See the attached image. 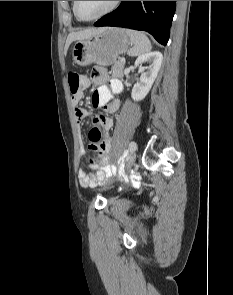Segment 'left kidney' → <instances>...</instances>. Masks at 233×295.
Segmentation results:
<instances>
[{
	"label": "left kidney",
	"instance_id": "left-kidney-1",
	"mask_svg": "<svg viewBox=\"0 0 233 295\" xmlns=\"http://www.w3.org/2000/svg\"><path fill=\"white\" fill-rule=\"evenodd\" d=\"M163 56L158 51L148 52L140 55L135 61V67H138V72L141 73L139 82H137L131 93V97L134 101L143 100L149 93L162 64ZM149 62L148 71L145 72L142 64Z\"/></svg>",
	"mask_w": 233,
	"mask_h": 295
}]
</instances>
